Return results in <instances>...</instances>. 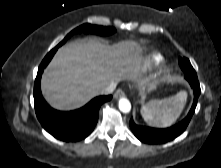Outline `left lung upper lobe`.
Wrapping results in <instances>:
<instances>
[{"mask_svg":"<svg viewBox=\"0 0 221 168\" xmlns=\"http://www.w3.org/2000/svg\"><path fill=\"white\" fill-rule=\"evenodd\" d=\"M179 64H180V67L181 69L183 70V72L185 73V76L186 75H195L196 72L195 70L193 69L190 61L186 58H179Z\"/></svg>","mask_w":221,"mask_h":168,"instance_id":"left-lung-upper-lobe-1","label":"left lung upper lobe"}]
</instances>
